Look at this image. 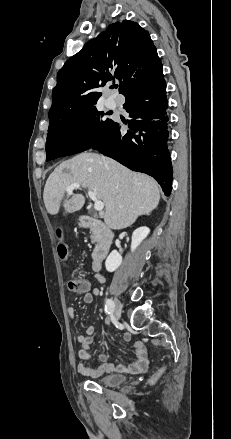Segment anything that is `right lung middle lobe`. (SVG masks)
Instances as JSON below:
<instances>
[{"label": "right lung middle lobe", "mask_w": 231, "mask_h": 439, "mask_svg": "<svg viewBox=\"0 0 231 439\" xmlns=\"http://www.w3.org/2000/svg\"><path fill=\"white\" fill-rule=\"evenodd\" d=\"M96 107L53 121L49 124L46 161L73 155L93 147L111 127L113 121L103 119Z\"/></svg>", "instance_id": "right-lung-middle-lobe-1"}]
</instances>
